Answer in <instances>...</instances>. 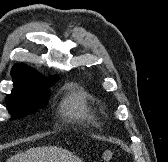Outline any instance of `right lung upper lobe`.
Segmentation results:
<instances>
[{
	"label": "right lung upper lobe",
	"mask_w": 168,
	"mask_h": 162,
	"mask_svg": "<svg viewBox=\"0 0 168 162\" xmlns=\"http://www.w3.org/2000/svg\"><path fill=\"white\" fill-rule=\"evenodd\" d=\"M11 75L15 86L12 92L27 85L47 84L58 79V77H51L49 81L25 64H15L12 68Z\"/></svg>",
	"instance_id": "1"
}]
</instances>
